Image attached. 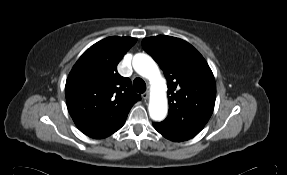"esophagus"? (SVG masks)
<instances>
[{
    "label": "esophagus",
    "instance_id": "esophagus-1",
    "mask_svg": "<svg viewBox=\"0 0 287 175\" xmlns=\"http://www.w3.org/2000/svg\"><path fill=\"white\" fill-rule=\"evenodd\" d=\"M143 99H148L149 98V91H146L145 93L142 94Z\"/></svg>",
    "mask_w": 287,
    "mask_h": 175
}]
</instances>
